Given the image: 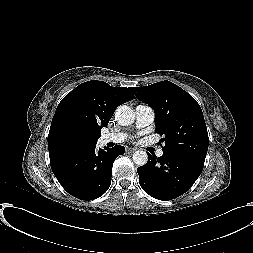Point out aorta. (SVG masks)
I'll use <instances>...</instances> for the list:
<instances>
[{"label":"aorta","instance_id":"aorta-1","mask_svg":"<svg viewBox=\"0 0 253 253\" xmlns=\"http://www.w3.org/2000/svg\"><path fill=\"white\" fill-rule=\"evenodd\" d=\"M135 113L127 105L119 106L115 111V120L121 126H128L134 122ZM133 161L138 166H143L148 161V155L145 151L138 150L133 153Z\"/></svg>","mask_w":253,"mask_h":253}]
</instances>
